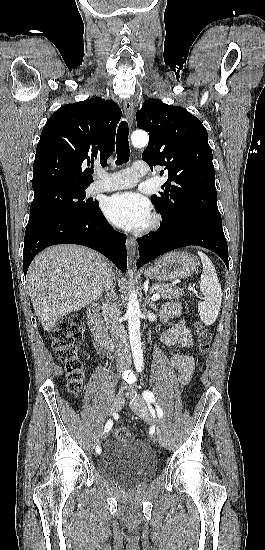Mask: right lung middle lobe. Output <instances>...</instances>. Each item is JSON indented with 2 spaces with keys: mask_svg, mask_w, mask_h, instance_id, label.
Masks as SVG:
<instances>
[{
  "mask_svg": "<svg viewBox=\"0 0 265 550\" xmlns=\"http://www.w3.org/2000/svg\"><path fill=\"white\" fill-rule=\"evenodd\" d=\"M85 196V189L61 185L35 188L29 221L52 215L91 213L96 209L97 203L85 201Z\"/></svg>",
  "mask_w": 265,
  "mask_h": 550,
  "instance_id": "dd1d6c3e",
  "label": "right lung middle lobe"
}]
</instances>
